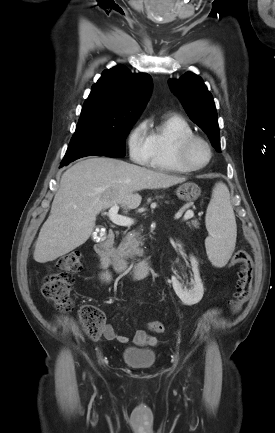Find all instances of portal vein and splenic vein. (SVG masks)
Instances as JSON below:
<instances>
[{"label":"portal vein and splenic vein","instance_id":"1","mask_svg":"<svg viewBox=\"0 0 275 433\" xmlns=\"http://www.w3.org/2000/svg\"><path fill=\"white\" fill-rule=\"evenodd\" d=\"M118 210H119L118 205H114L109 209L107 215H108L109 219L111 220V222H113L114 224L119 225V226H131L132 224H134V220L132 218L119 215ZM193 215H194L193 211L188 210L185 213V215L183 216V219L189 220L190 218L193 217Z\"/></svg>","mask_w":275,"mask_h":433}]
</instances>
